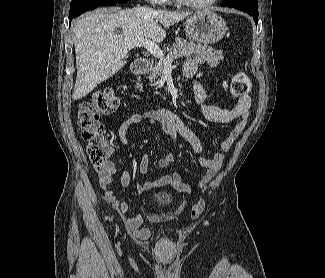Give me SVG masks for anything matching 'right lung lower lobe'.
<instances>
[{
  "label": "right lung lower lobe",
  "mask_w": 325,
  "mask_h": 278,
  "mask_svg": "<svg viewBox=\"0 0 325 278\" xmlns=\"http://www.w3.org/2000/svg\"><path fill=\"white\" fill-rule=\"evenodd\" d=\"M128 0H72L69 12L70 21L82 13L100 5H114Z\"/></svg>",
  "instance_id": "right-lung-lower-lobe-1"
}]
</instances>
